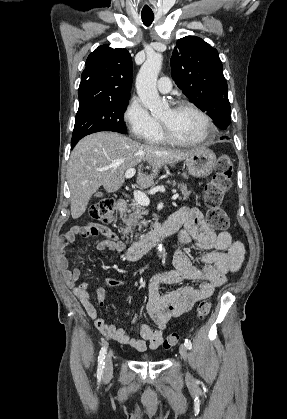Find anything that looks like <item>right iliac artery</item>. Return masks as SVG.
<instances>
[{
    "mask_svg": "<svg viewBox=\"0 0 287 419\" xmlns=\"http://www.w3.org/2000/svg\"><path fill=\"white\" fill-rule=\"evenodd\" d=\"M106 353H107V347L103 346L100 350L99 356H98V368H97V378L101 379V377L103 376V369H104V359L106 357Z\"/></svg>",
    "mask_w": 287,
    "mask_h": 419,
    "instance_id": "right-iliac-artery-1",
    "label": "right iliac artery"
}]
</instances>
